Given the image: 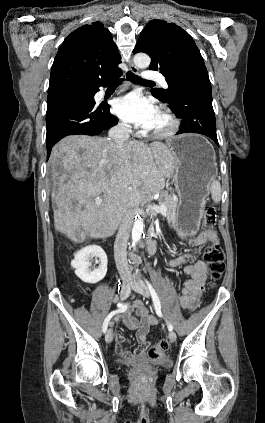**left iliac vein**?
<instances>
[{"instance_id": "1", "label": "left iliac vein", "mask_w": 265, "mask_h": 423, "mask_svg": "<svg viewBox=\"0 0 265 423\" xmlns=\"http://www.w3.org/2000/svg\"><path fill=\"white\" fill-rule=\"evenodd\" d=\"M132 288L134 291L138 292L139 294L143 295L144 297H149L150 293L149 290L147 288V286L140 280L136 281L135 283L132 284ZM169 340L171 342H175L176 341V334L173 331H170L168 334Z\"/></svg>"}]
</instances>
